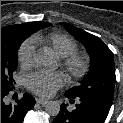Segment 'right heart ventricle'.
Here are the masks:
<instances>
[{
	"instance_id": "right-heart-ventricle-1",
	"label": "right heart ventricle",
	"mask_w": 123,
	"mask_h": 123,
	"mask_svg": "<svg viewBox=\"0 0 123 123\" xmlns=\"http://www.w3.org/2000/svg\"><path fill=\"white\" fill-rule=\"evenodd\" d=\"M31 39L35 44H42L52 49L61 58L76 53L78 50L75 40L64 33L36 34Z\"/></svg>"
}]
</instances>
